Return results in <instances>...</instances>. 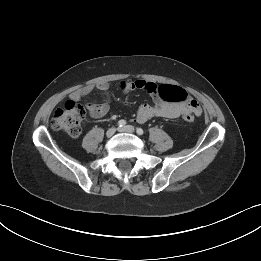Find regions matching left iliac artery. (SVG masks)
I'll return each instance as SVG.
<instances>
[{
	"mask_svg": "<svg viewBox=\"0 0 261 261\" xmlns=\"http://www.w3.org/2000/svg\"><path fill=\"white\" fill-rule=\"evenodd\" d=\"M136 132L138 135H142L144 133L142 128H137Z\"/></svg>",
	"mask_w": 261,
	"mask_h": 261,
	"instance_id": "obj_1",
	"label": "left iliac artery"
}]
</instances>
